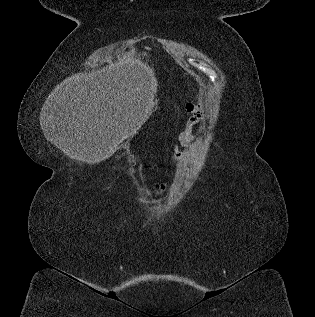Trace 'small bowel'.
<instances>
[{"label":"small bowel","instance_id":"small-bowel-1","mask_svg":"<svg viewBox=\"0 0 315 317\" xmlns=\"http://www.w3.org/2000/svg\"><path fill=\"white\" fill-rule=\"evenodd\" d=\"M186 110L192 113V116L189 118L186 128L179 133L178 142L182 146H188L196 141V137L192 134L193 126L202 118L203 110L200 107L193 106L192 104L186 105ZM184 160L183 153L179 150L178 145L173 146V156L171 162L176 164H181ZM150 166L156 172H159V169L154 163H150ZM167 184L165 182L156 183L154 185V192L156 195L162 194L166 189Z\"/></svg>","mask_w":315,"mask_h":317}]
</instances>
